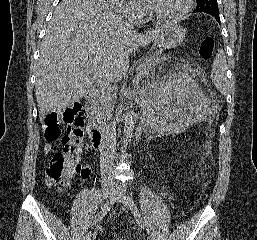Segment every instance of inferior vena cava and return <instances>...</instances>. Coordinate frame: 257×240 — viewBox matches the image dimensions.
I'll list each match as a JSON object with an SVG mask.
<instances>
[{"mask_svg":"<svg viewBox=\"0 0 257 240\" xmlns=\"http://www.w3.org/2000/svg\"><path fill=\"white\" fill-rule=\"evenodd\" d=\"M126 27L128 29H133L134 28L133 25L128 24V23H126ZM113 118H114V115H113V112L111 110V105H110L109 108H108V111H107L108 124H107L106 131H108V132H111V130H112ZM110 143H111L110 147L112 149L113 145L115 144V137H114L113 134L110 137ZM101 166H102V169L104 171H108V170L112 169V167H113V156L110 153L103 158Z\"/></svg>","mask_w":257,"mask_h":240,"instance_id":"obj_1","label":"inferior vena cava"}]
</instances>
